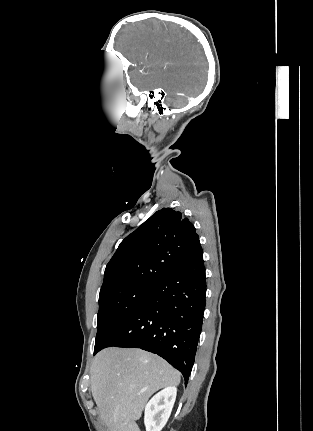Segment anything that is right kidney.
I'll use <instances>...</instances> for the list:
<instances>
[{"label": "right kidney", "instance_id": "1", "mask_svg": "<svg viewBox=\"0 0 313 431\" xmlns=\"http://www.w3.org/2000/svg\"><path fill=\"white\" fill-rule=\"evenodd\" d=\"M177 389L169 386L158 392L145 406L146 431H161L166 425L176 400Z\"/></svg>", "mask_w": 313, "mask_h": 431}]
</instances>
